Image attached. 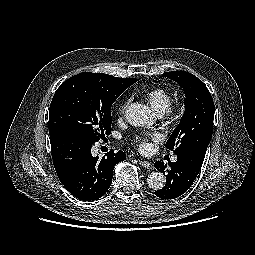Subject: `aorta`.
Here are the masks:
<instances>
[{
  "label": "aorta",
  "instance_id": "1",
  "mask_svg": "<svg viewBox=\"0 0 255 255\" xmlns=\"http://www.w3.org/2000/svg\"><path fill=\"white\" fill-rule=\"evenodd\" d=\"M126 119L131 125L138 127H146L154 123L150 109L139 103L130 104L126 110ZM147 183L151 189L161 190L165 186L166 178L160 172H152L148 175Z\"/></svg>",
  "mask_w": 255,
  "mask_h": 255
}]
</instances>
